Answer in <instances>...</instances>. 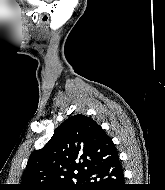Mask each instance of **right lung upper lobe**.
<instances>
[{
    "label": "right lung upper lobe",
    "instance_id": "right-lung-upper-lobe-1",
    "mask_svg": "<svg viewBox=\"0 0 165 190\" xmlns=\"http://www.w3.org/2000/svg\"><path fill=\"white\" fill-rule=\"evenodd\" d=\"M115 154L114 143L94 120L71 116L42 149L30 155L19 189L53 190L75 185L74 181L80 187L87 170Z\"/></svg>",
    "mask_w": 165,
    "mask_h": 190
}]
</instances>
